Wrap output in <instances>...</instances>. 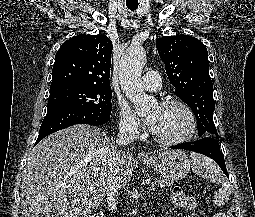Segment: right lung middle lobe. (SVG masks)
I'll list each match as a JSON object with an SVG mask.
<instances>
[{
	"label": "right lung middle lobe",
	"instance_id": "dd1d6c3e",
	"mask_svg": "<svg viewBox=\"0 0 255 217\" xmlns=\"http://www.w3.org/2000/svg\"><path fill=\"white\" fill-rule=\"evenodd\" d=\"M111 88H101L81 84H62L50 87L48 107L66 104L91 111L102 116H110L112 110Z\"/></svg>",
	"mask_w": 255,
	"mask_h": 217
}]
</instances>
